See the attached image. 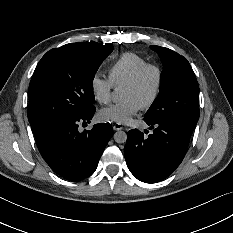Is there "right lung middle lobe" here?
Here are the masks:
<instances>
[{"label":"right lung middle lobe","mask_w":233,"mask_h":233,"mask_svg":"<svg viewBox=\"0 0 233 233\" xmlns=\"http://www.w3.org/2000/svg\"><path fill=\"white\" fill-rule=\"evenodd\" d=\"M112 50V45L79 42L48 51L29 85L31 127L79 117L92 108L94 75Z\"/></svg>","instance_id":"1"}]
</instances>
